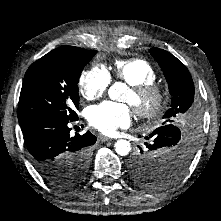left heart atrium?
I'll return each instance as SVG.
<instances>
[{
  "mask_svg": "<svg viewBox=\"0 0 221 221\" xmlns=\"http://www.w3.org/2000/svg\"><path fill=\"white\" fill-rule=\"evenodd\" d=\"M89 123L105 134H112L118 128H125L132 120L130 106L105 101L88 109Z\"/></svg>",
  "mask_w": 221,
  "mask_h": 221,
  "instance_id": "left-heart-atrium-1",
  "label": "left heart atrium"
}]
</instances>
